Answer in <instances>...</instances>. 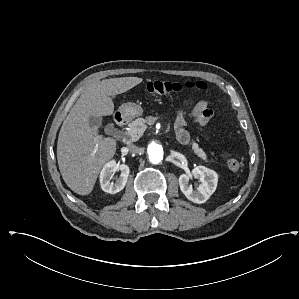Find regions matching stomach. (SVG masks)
Instances as JSON below:
<instances>
[{
	"label": "stomach",
	"mask_w": 299,
	"mask_h": 299,
	"mask_svg": "<svg viewBox=\"0 0 299 299\" xmlns=\"http://www.w3.org/2000/svg\"><path fill=\"white\" fill-rule=\"evenodd\" d=\"M119 111L126 119H133L143 114L142 107L132 102L122 104Z\"/></svg>",
	"instance_id": "0dacf381"
}]
</instances>
